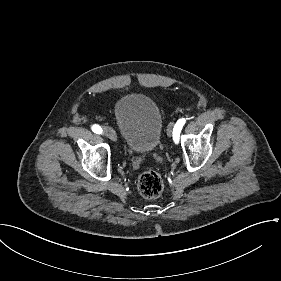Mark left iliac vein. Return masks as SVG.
I'll list each match as a JSON object with an SVG mask.
<instances>
[{
	"label": "left iliac vein",
	"mask_w": 281,
	"mask_h": 281,
	"mask_svg": "<svg viewBox=\"0 0 281 281\" xmlns=\"http://www.w3.org/2000/svg\"><path fill=\"white\" fill-rule=\"evenodd\" d=\"M173 130H174V124L170 123L169 126H168V129H167L168 136H172Z\"/></svg>",
	"instance_id": "obj_1"
}]
</instances>
